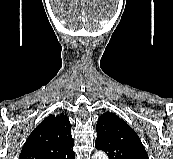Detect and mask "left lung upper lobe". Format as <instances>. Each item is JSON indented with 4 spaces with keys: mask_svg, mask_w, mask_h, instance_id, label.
Wrapping results in <instances>:
<instances>
[{
    "mask_svg": "<svg viewBox=\"0 0 173 159\" xmlns=\"http://www.w3.org/2000/svg\"><path fill=\"white\" fill-rule=\"evenodd\" d=\"M95 147L109 159H149L135 131L114 113L101 115L96 125Z\"/></svg>",
    "mask_w": 173,
    "mask_h": 159,
    "instance_id": "1",
    "label": "left lung upper lobe"
}]
</instances>
